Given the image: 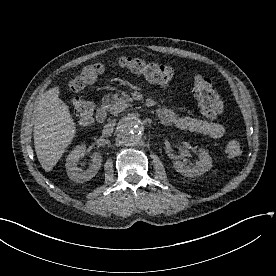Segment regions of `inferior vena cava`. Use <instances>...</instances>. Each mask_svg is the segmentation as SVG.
Listing matches in <instances>:
<instances>
[{
	"instance_id": "inferior-vena-cava-1",
	"label": "inferior vena cava",
	"mask_w": 276,
	"mask_h": 276,
	"mask_svg": "<svg viewBox=\"0 0 276 276\" xmlns=\"http://www.w3.org/2000/svg\"><path fill=\"white\" fill-rule=\"evenodd\" d=\"M115 124H116L115 121H111L110 123L106 124L103 129V133L105 135H110L113 132Z\"/></svg>"
}]
</instances>
